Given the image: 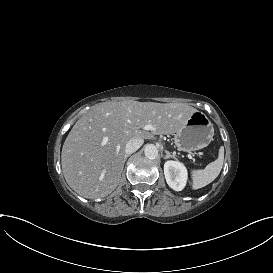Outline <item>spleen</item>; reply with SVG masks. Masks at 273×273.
Returning <instances> with one entry per match:
<instances>
[{
  "instance_id": "spleen-1",
  "label": "spleen",
  "mask_w": 273,
  "mask_h": 273,
  "mask_svg": "<svg viewBox=\"0 0 273 273\" xmlns=\"http://www.w3.org/2000/svg\"><path fill=\"white\" fill-rule=\"evenodd\" d=\"M224 161V147L219 149L218 159L208 164L203 170H194L193 176V189L205 187L214 181L219 175Z\"/></svg>"
}]
</instances>
